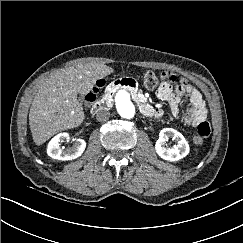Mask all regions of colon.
<instances>
[{
  "label": "colon",
  "mask_w": 243,
  "mask_h": 243,
  "mask_svg": "<svg viewBox=\"0 0 243 243\" xmlns=\"http://www.w3.org/2000/svg\"><path fill=\"white\" fill-rule=\"evenodd\" d=\"M163 75H158L153 71H148L143 76V83L147 89H155L161 81H163ZM102 86V81L97 83V88ZM97 88H94L86 97L88 101H93L96 96ZM204 142V137L201 135H196L193 137V143L196 145H201Z\"/></svg>",
  "instance_id": "5ec220e1"
}]
</instances>
